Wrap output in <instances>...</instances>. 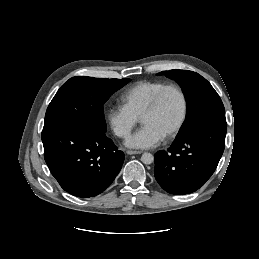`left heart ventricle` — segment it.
<instances>
[{
  "instance_id": "obj_1",
  "label": "left heart ventricle",
  "mask_w": 259,
  "mask_h": 259,
  "mask_svg": "<svg viewBox=\"0 0 259 259\" xmlns=\"http://www.w3.org/2000/svg\"><path fill=\"white\" fill-rule=\"evenodd\" d=\"M182 111V101L175 90H170L164 96L159 109L143 118L142 124L149 125L163 136L169 133L179 121Z\"/></svg>"
}]
</instances>
